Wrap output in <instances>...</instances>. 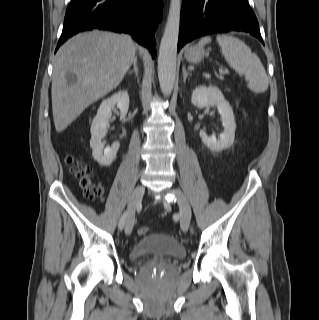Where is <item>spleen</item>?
Masks as SVG:
<instances>
[{"label":"spleen","mask_w":319,"mask_h":320,"mask_svg":"<svg viewBox=\"0 0 319 320\" xmlns=\"http://www.w3.org/2000/svg\"><path fill=\"white\" fill-rule=\"evenodd\" d=\"M211 37H203L199 46L211 42ZM221 53L228 64L247 79L248 88L254 93H263L268 89V77L259 57L239 38L227 34L216 37Z\"/></svg>","instance_id":"1"}]
</instances>
